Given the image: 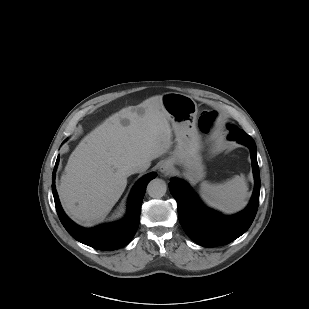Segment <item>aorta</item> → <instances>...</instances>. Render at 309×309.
Segmentation results:
<instances>
[{"mask_svg":"<svg viewBox=\"0 0 309 309\" xmlns=\"http://www.w3.org/2000/svg\"><path fill=\"white\" fill-rule=\"evenodd\" d=\"M167 185L164 180L155 178L147 186V193L152 198H161L165 195Z\"/></svg>","mask_w":309,"mask_h":309,"instance_id":"obj_1","label":"aorta"}]
</instances>
